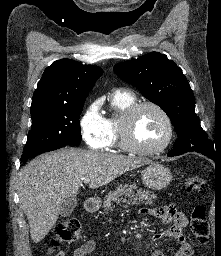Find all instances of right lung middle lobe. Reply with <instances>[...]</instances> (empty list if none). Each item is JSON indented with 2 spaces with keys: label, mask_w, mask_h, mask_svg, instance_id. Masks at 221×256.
<instances>
[{
  "label": "right lung middle lobe",
  "mask_w": 221,
  "mask_h": 256,
  "mask_svg": "<svg viewBox=\"0 0 221 256\" xmlns=\"http://www.w3.org/2000/svg\"><path fill=\"white\" fill-rule=\"evenodd\" d=\"M83 104L84 101L30 111L32 127L28 133L21 161L25 163L33 156L59 146L79 145L81 141L79 116Z\"/></svg>",
  "instance_id": "right-lung-middle-lobe-1"
}]
</instances>
